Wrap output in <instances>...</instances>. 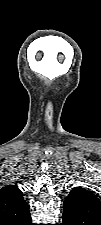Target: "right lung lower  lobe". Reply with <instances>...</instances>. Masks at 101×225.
<instances>
[{
	"label": "right lung lower lobe",
	"instance_id": "right-lung-lower-lobe-1",
	"mask_svg": "<svg viewBox=\"0 0 101 225\" xmlns=\"http://www.w3.org/2000/svg\"><path fill=\"white\" fill-rule=\"evenodd\" d=\"M27 225H33V224H32L31 221H30Z\"/></svg>",
	"mask_w": 101,
	"mask_h": 225
}]
</instances>
